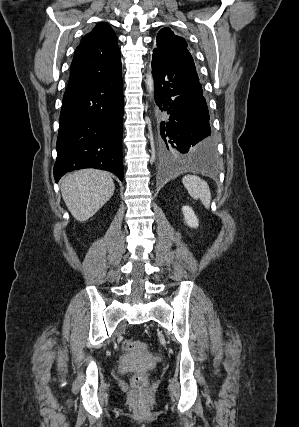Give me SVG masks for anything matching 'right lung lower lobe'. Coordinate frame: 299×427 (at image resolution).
I'll list each match as a JSON object with an SVG mask.
<instances>
[{"mask_svg":"<svg viewBox=\"0 0 299 427\" xmlns=\"http://www.w3.org/2000/svg\"><path fill=\"white\" fill-rule=\"evenodd\" d=\"M123 84L114 76L64 93L57 138L56 182L82 168L111 171L123 180Z\"/></svg>","mask_w":299,"mask_h":427,"instance_id":"1","label":"right lung lower lobe"}]
</instances>
